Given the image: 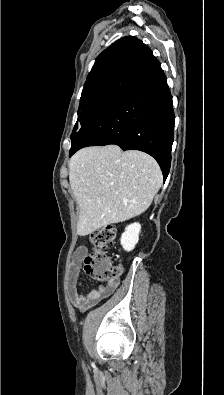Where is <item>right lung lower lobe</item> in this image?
Listing matches in <instances>:
<instances>
[{"instance_id": "obj_1", "label": "right lung lower lobe", "mask_w": 224, "mask_h": 395, "mask_svg": "<svg viewBox=\"0 0 224 395\" xmlns=\"http://www.w3.org/2000/svg\"><path fill=\"white\" fill-rule=\"evenodd\" d=\"M174 122L167 78L152 51L142 44L120 70L112 89L72 145L70 156L94 145L140 150L156 159L165 180L170 170Z\"/></svg>"}]
</instances>
